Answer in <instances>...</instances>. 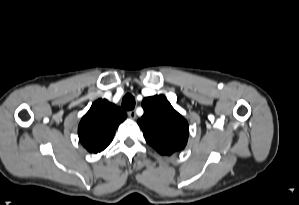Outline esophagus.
<instances>
[{"label":"esophagus","instance_id":"1","mask_svg":"<svg viewBox=\"0 0 299 205\" xmlns=\"http://www.w3.org/2000/svg\"><path fill=\"white\" fill-rule=\"evenodd\" d=\"M128 116L131 119H135L136 118V112L134 110H131L128 112Z\"/></svg>","mask_w":299,"mask_h":205}]
</instances>
